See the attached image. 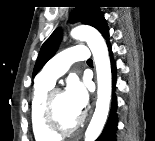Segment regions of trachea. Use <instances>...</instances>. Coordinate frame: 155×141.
Here are the masks:
<instances>
[{
    "instance_id": "1",
    "label": "trachea",
    "mask_w": 155,
    "mask_h": 141,
    "mask_svg": "<svg viewBox=\"0 0 155 141\" xmlns=\"http://www.w3.org/2000/svg\"><path fill=\"white\" fill-rule=\"evenodd\" d=\"M90 62H92V59H88V60H87V63H90Z\"/></svg>"
}]
</instances>
